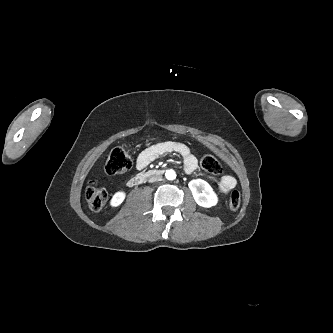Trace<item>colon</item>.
Instances as JSON below:
<instances>
[{"label": "colon", "instance_id": "1", "mask_svg": "<svg viewBox=\"0 0 333 333\" xmlns=\"http://www.w3.org/2000/svg\"><path fill=\"white\" fill-rule=\"evenodd\" d=\"M131 165L132 157L128 149L125 147H118L110 153L104 164L103 170L109 175L120 174L129 170ZM200 166L206 172L214 175L220 174L222 171L220 163L210 155L202 157ZM86 199L91 210L100 211L105 207L108 195L104 189L91 183L86 190ZM240 204V193L234 190L229 196L228 206L232 210H237L240 207Z\"/></svg>", "mask_w": 333, "mask_h": 333}]
</instances>
